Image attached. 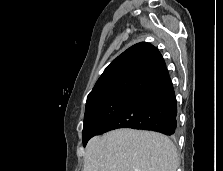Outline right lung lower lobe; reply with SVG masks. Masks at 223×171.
<instances>
[{
  "instance_id": "obj_1",
  "label": "right lung lower lobe",
  "mask_w": 223,
  "mask_h": 171,
  "mask_svg": "<svg viewBox=\"0 0 223 171\" xmlns=\"http://www.w3.org/2000/svg\"><path fill=\"white\" fill-rule=\"evenodd\" d=\"M118 128L152 130L165 135L176 133L177 104L169 75L139 93L98 135Z\"/></svg>"
}]
</instances>
